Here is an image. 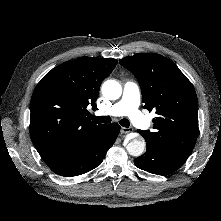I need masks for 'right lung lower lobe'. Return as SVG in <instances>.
<instances>
[{"label":"right lung lower lobe","mask_w":221,"mask_h":221,"mask_svg":"<svg viewBox=\"0 0 221 221\" xmlns=\"http://www.w3.org/2000/svg\"><path fill=\"white\" fill-rule=\"evenodd\" d=\"M119 131L120 126L117 123L103 125L88 143L45 162L53 172L61 176L72 177L87 173L102 163Z\"/></svg>","instance_id":"1"}]
</instances>
